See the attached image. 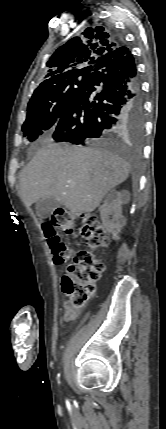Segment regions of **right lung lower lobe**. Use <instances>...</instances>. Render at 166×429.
<instances>
[{
	"label": "right lung lower lobe",
	"mask_w": 166,
	"mask_h": 429,
	"mask_svg": "<svg viewBox=\"0 0 166 429\" xmlns=\"http://www.w3.org/2000/svg\"><path fill=\"white\" fill-rule=\"evenodd\" d=\"M144 109L134 58L120 46L96 60L88 81L74 94L54 127L53 139L98 144L128 128L143 130Z\"/></svg>",
	"instance_id": "obj_1"
}]
</instances>
